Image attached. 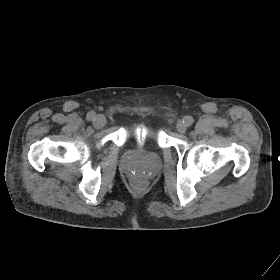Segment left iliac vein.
<instances>
[{
  "instance_id": "1",
  "label": "left iliac vein",
  "mask_w": 280,
  "mask_h": 280,
  "mask_svg": "<svg viewBox=\"0 0 280 280\" xmlns=\"http://www.w3.org/2000/svg\"><path fill=\"white\" fill-rule=\"evenodd\" d=\"M176 129L179 133L183 134L187 130V125L185 124V122H183V120H178L176 124Z\"/></svg>"
}]
</instances>
